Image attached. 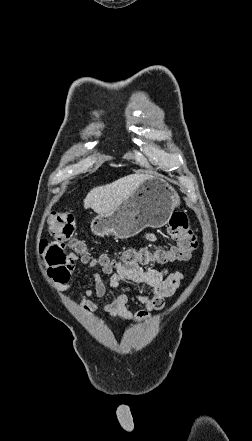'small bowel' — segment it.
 Segmentation results:
<instances>
[{"label": "small bowel", "instance_id": "obj_1", "mask_svg": "<svg viewBox=\"0 0 252 441\" xmlns=\"http://www.w3.org/2000/svg\"><path fill=\"white\" fill-rule=\"evenodd\" d=\"M145 239L151 242L156 241V237L153 234H146ZM77 261L91 268L99 263L97 258L89 254H70L69 274L65 280L59 282L62 288L69 287L74 263ZM102 271L105 275L109 276V286L113 290L119 289L122 283H134L141 287L142 292L135 295V298L144 305L145 308L143 310L132 312L127 308L128 293H130L128 288L125 289L124 293L115 294L113 299L104 306V310L113 318L136 322L146 320L152 311L162 309L165 299L175 293L183 278V274L180 271H170L168 269L146 270L137 263L124 264L119 262L116 268H114L109 262L103 264ZM93 282V289L81 292L83 309L87 312L96 310V305L89 301V299L93 296L103 298L107 291V287L99 274L93 275Z\"/></svg>", "mask_w": 252, "mask_h": 441}]
</instances>
